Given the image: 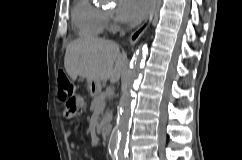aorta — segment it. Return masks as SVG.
<instances>
[{
    "label": "aorta",
    "mask_w": 242,
    "mask_h": 160,
    "mask_svg": "<svg viewBox=\"0 0 242 160\" xmlns=\"http://www.w3.org/2000/svg\"><path fill=\"white\" fill-rule=\"evenodd\" d=\"M145 49H139L134 56L130 70L123 80V95L120 100V114L113 128L108 148L113 151L116 160H126L128 155L129 130L132 114L133 88L140 78L143 63L145 61Z\"/></svg>",
    "instance_id": "obj_1"
}]
</instances>
